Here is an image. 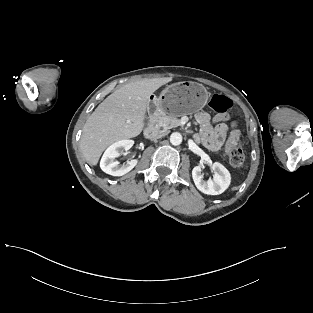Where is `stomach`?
Returning a JSON list of instances; mask_svg holds the SVG:
<instances>
[{
  "mask_svg": "<svg viewBox=\"0 0 313 313\" xmlns=\"http://www.w3.org/2000/svg\"><path fill=\"white\" fill-rule=\"evenodd\" d=\"M209 98L206 88L192 81L167 86L161 94L150 98L151 106L169 115L181 116L201 110Z\"/></svg>",
  "mask_w": 313,
  "mask_h": 313,
  "instance_id": "stomach-1",
  "label": "stomach"
}]
</instances>
